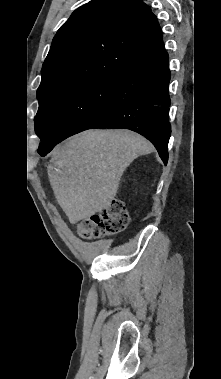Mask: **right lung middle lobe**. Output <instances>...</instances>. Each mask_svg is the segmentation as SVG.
<instances>
[{
    "label": "right lung middle lobe",
    "mask_w": 221,
    "mask_h": 379,
    "mask_svg": "<svg viewBox=\"0 0 221 379\" xmlns=\"http://www.w3.org/2000/svg\"><path fill=\"white\" fill-rule=\"evenodd\" d=\"M119 78L117 74L99 75L39 97L35 117L39 149L92 128L109 108Z\"/></svg>",
    "instance_id": "right-lung-middle-lobe-1"
}]
</instances>
